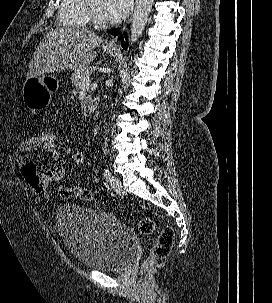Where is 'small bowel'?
I'll use <instances>...</instances> for the list:
<instances>
[{
  "label": "small bowel",
  "mask_w": 272,
  "mask_h": 303,
  "mask_svg": "<svg viewBox=\"0 0 272 303\" xmlns=\"http://www.w3.org/2000/svg\"><path fill=\"white\" fill-rule=\"evenodd\" d=\"M38 149H42L49 157L52 161H59L62 157L61 151L59 150V148H54V149H48V148H44L40 142L39 139L37 138V136H31L27 139H25L24 141H22L19 145V154L17 156V163L20 166H24L25 165V158H24V154L28 153V152H32ZM46 180V184H52V183H56L58 181H60L61 179H63L65 172L63 168L60 167H55V168H51L45 172L41 173Z\"/></svg>",
  "instance_id": "c3829d8e"
}]
</instances>
